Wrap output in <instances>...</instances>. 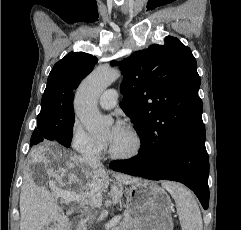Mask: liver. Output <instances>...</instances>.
Returning <instances> with one entry per match:
<instances>
[{"instance_id": "6515ba94", "label": "liver", "mask_w": 241, "mask_h": 230, "mask_svg": "<svg viewBox=\"0 0 241 230\" xmlns=\"http://www.w3.org/2000/svg\"><path fill=\"white\" fill-rule=\"evenodd\" d=\"M30 163L44 172L48 179L55 178L66 195L75 194L72 185L79 186V195L85 201H101L102 192L109 186V176L102 166L94 167L85 164L81 157L67 151L52 149L49 146L32 149ZM86 167V168H85ZM90 167V168H88ZM80 169V174L75 169ZM34 171L25 175L20 193V230H64L66 227L59 213L57 200L45 186L36 185ZM68 180L63 182V178ZM116 182L111 186L110 196L114 204L123 195V186L133 184L140 179L128 175L115 174ZM53 223L52 227H49Z\"/></svg>"}]
</instances>
